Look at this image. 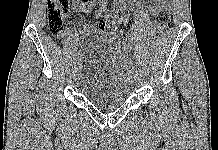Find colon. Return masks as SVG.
<instances>
[{
    "label": "colon",
    "instance_id": "5ec220e1",
    "mask_svg": "<svg viewBox=\"0 0 218 150\" xmlns=\"http://www.w3.org/2000/svg\"><path fill=\"white\" fill-rule=\"evenodd\" d=\"M72 0H49L48 1V22L49 31L53 36H59L63 29V22L67 17ZM120 15H115L111 19L103 20L97 23V28L104 33L110 34L118 40L122 37V32L117 26L120 24ZM170 24V11L162 8L156 13L154 30L157 33L163 32Z\"/></svg>",
    "mask_w": 218,
    "mask_h": 150
}]
</instances>
